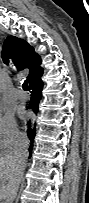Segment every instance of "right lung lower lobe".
I'll return each mask as SVG.
<instances>
[{"label":"right lung lower lobe","mask_w":89,"mask_h":203,"mask_svg":"<svg viewBox=\"0 0 89 203\" xmlns=\"http://www.w3.org/2000/svg\"><path fill=\"white\" fill-rule=\"evenodd\" d=\"M43 71L36 76L33 80H31L29 82L30 88L32 89V94H31V99H30V104H29V108L32 109L35 113L38 112V105H39V101L41 99L42 96V89H43V82L41 80V76H42ZM29 128H28V137L31 141L30 147H29V157H31L32 155V148H33V140L35 137V131L36 129H30V125L31 122H28Z\"/></svg>","instance_id":"1"}]
</instances>
